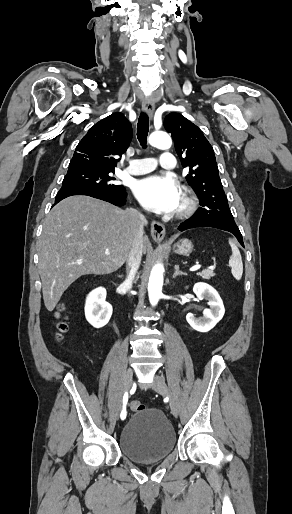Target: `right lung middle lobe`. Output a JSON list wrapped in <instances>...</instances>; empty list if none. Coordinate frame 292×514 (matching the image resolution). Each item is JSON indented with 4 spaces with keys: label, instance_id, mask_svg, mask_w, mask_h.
Instances as JSON below:
<instances>
[{
    "label": "right lung middle lobe",
    "instance_id": "1",
    "mask_svg": "<svg viewBox=\"0 0 292 514\" xmlns=\"http://www.w3.org/2000/svg\"><path fill=\"white\" fill-rule=\"evenodd\" d=\"M114 171L107 172H67L62 182V188L84 187L104 191H117L124 189L118 185L112 176Z\"/></svg>",
    "mask_w": 292,
    "mask_h": 514
}]
</instances>
